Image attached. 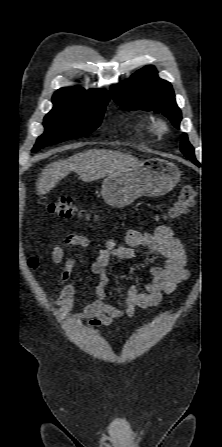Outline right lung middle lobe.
<instances>
[{
  "label": "right lung middle lobe",
  "instance_id": "1",
  "mask_svg": "<svg viewBox=\"0 0 222 447\" xmlns=\"http://www.w3.org/2000/svg\"><path fill=\"white\" fill-rule=\"evenodd\" d=\"M108 101V98L81 99L54 95V107L43 122L45 132L37 139L32 151L94 131L102 121Z\"/></svg>",
  "mask_w": 222,
  "mask_h": 447
}]
</instances>
